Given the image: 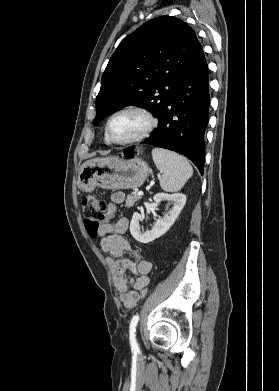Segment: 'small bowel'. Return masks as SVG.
Instances as JSON below:
<instances>
[{"mask_svg":"<svg viewBox=\"0 0 279 391\" xmlns=\"http://www.w3.org/2000/svg\"><path fill=\"white\" fill-rule=\"evenodd\" d=\"M124 199L121 192L111 195V200L107 208L106 221L98 229L97 236L100 237L101 249L110 254L107 263L111 269L113 282L121 302L127 308H133L141 300L140 291L149 284V273L152 263L143 259L140 254L132 250L128 241L123 237L127 227L128 219L123 217L115 224L110 220L114 217L116 207ZM125 252H131L134 259L123 257ZM137 276L136 279L128 276L126 271Z\"/></svg>","mask_w":279,"mask_h":391,"instance_id":"c3829d8e","label":"small bowel"}]
</instances>
